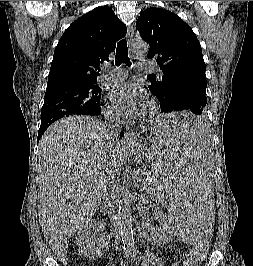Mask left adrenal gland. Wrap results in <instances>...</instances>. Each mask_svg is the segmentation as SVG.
<instances>
[{"mask_svg":"<svg viewBox=\"0 0 253 266\" xmlns=\"http://www.w3.org/2000/svg\"><path fill=\"white\" fill-rule=\"evenodd\" d=\"M137 186L139 187V188H142L143 187V184H142V180L141 179H138L137 180Z\"/></svg>","mask_w":253,"mask_h":266,"instance_id":"a2214340","label":"left adrenal gland"}]
</instances>
